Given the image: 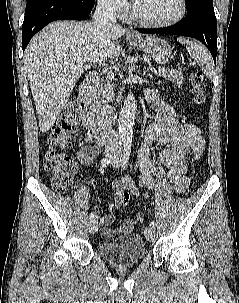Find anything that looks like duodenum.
Returning a JSON list of instances; mask_svg holds the SVG:
<instances>
[{
  "label": "duodenum",
  "mask_w": 239,
  "mask_h": 303,
  "mask_svg": "<svg viewBox=\"0 0 239 303\" xmlns=\"http://www.w3.org/2000/svg\"><path fill=\"white\" fill-rule=\"evenodd\" d=\"M99 74L91 72L82 82L78 93V107L83 126L96 137H104L110 129V116L99 113L94 107L93 93Z\"/></svg>",
  "instance_id": "1"
}]
</instances>
